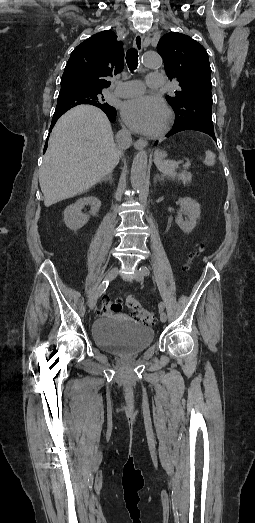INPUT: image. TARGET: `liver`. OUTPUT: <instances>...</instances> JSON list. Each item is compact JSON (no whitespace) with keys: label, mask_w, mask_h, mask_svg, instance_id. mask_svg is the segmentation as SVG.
<instances>
[{"label":"liver","mask_w":255,"mask_h":523,"mask_svg":"<svg viewBox=\"0 0 255 523\" xmlns=\"http://www.w3.org/2000/svg\"><path fill=\"white\" fill-rule=\"evenodd\" d=\"M111 124L94 106H76L59 118L39 172L44 206L87 192L120 160Z\"/></svg>","instance_id":"1"}]
</instances>
